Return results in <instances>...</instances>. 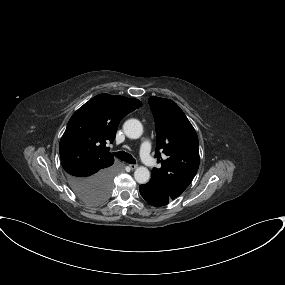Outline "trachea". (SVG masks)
Instances as JSON below:
<instances>
[{"instance_id":"3493384b","label":"trachea","mask_w":285,"mask_h":285,"mask_svg":"<svg viewBox=\"0 0 285 285\" xmlns=\"http://www.w3.org/2000/svg\"><path fill=\"white\" fill-rule=\"evenodd\" d=\"M114 155L120 159V160H123V161H126L127 163H130V164H135L136 163V160L130 155L128 154L127 152L125 151H118V152H115Z\"/></svg>"}]
</instances>
